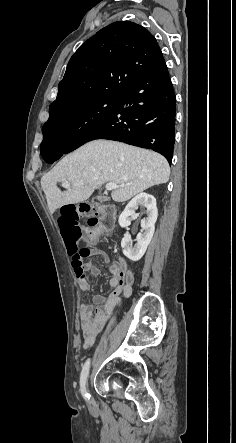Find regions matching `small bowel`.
Listing matches in <instances>:
<instances>
[{
    "label": "small bowel",
    "instance_id": "c3829d8e",
    "mask_svg": "<svg viewBox=\"0 0 236 443\" xmlns=\"http://www.w3.org/2000/svg\"><path fill=\"white\" fill-rule=\"evenodd\" d=\"M86 232L89 234L88 244L91 247L89 256L104 260L111 273L109 286L114 289L108 296L94 295L90 303L83 304L80 307L83 346L88 348L96 341L105 325L107 315L117 306L120 296H127L130 293L133 276L124 259L119 258L114 262H110L108 255L97 247L101 235L98 230L89 229ZM73 270L82 292L91 290L86 273H90L92 276H99L101 273L100 269L91 260L85 262L81 269L73 268Z\"/></svg>",
    "mask_w": 236,
    "mask_h": 443
}]
</instances>
